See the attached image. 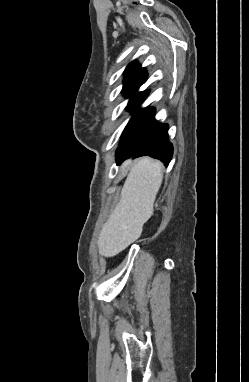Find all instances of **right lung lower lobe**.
Wrapping results in <instances>:
<instances>
[{
  "label": "right lung lower lobe",
  "instance_id": "98d812e1",
  "mask_svg": "<svg viewBox=\"0 0 249 382\" xmlns=\"http://www.w3.org/2000/svg\"><path fill=\"white\" fill-rule=\"evenodd\" d=\"M156 110L149 111L124 135L121 145L117 149V162L130 157L150 156L160 159L168 166L173 146L168 138V125L159 124L155 120Z\"/></svg>",
  "mask_w": 249,
  "mask_h": 382
}]
</instances>
